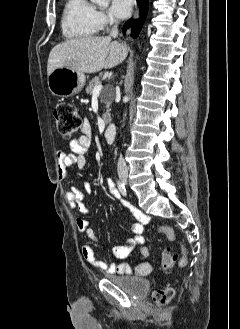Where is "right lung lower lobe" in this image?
Segmentation results:
<instances>
[{"label": "right lung lower lobe", "mask_w": 240, "mask_h": 329, "mask_svg": "<svg viewBox=\"0 0 240 329\" xmlns=\"http://www.w3.org/2000/svg\"><path fill=\"white\" fill-rule=\"evenodd\" d=\"M140 3V12H141V17L140 19L132 24L133 30H132V36L135 37L139 34V31L143 25V22L145 20L146 14H147V9H148V0H138ZM130 26V22H126L124 24L123 32L125 33L126 29Z\"/></svg>", "instance_id": "98d812e1"}]
</instances>
